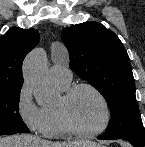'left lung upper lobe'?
<instances>
[{
    "mask_svg": "<svg viewBox=\"0 0 145 147\" xmlns=\"http://www.w3.org/2000/svg\"><path fill=\"white\" fill-rule=\"evenodd\" d=\"M70 69L105 98L111 120L104 134L114 139L144 142V127L135 96L130 59L118 36L97 22L63 29Z\"/></svg>",
    "mask_w": 145,
    "mask_h": 147,
    "instance_id": "left-lung-upper-lobe-1",
    "label": "left lung upper lobe"
}]
</instances>
